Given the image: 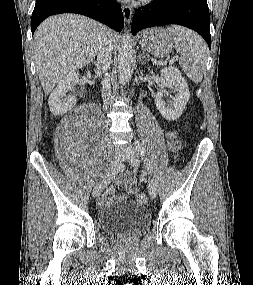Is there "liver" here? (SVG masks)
I'll return each instance as SVG.
<instances>
[{"mask_svg":"<svg viewBox=\"0 0 253 285\" xmlns=\"http://www.w3.org/2000/svg\"><path fill=\"white\" fill-rule=\"evenodd\" d=\"M102 25L75 14H61L43 21L34 37V57L41 85L49 94L69 73L88 65L100 47ZM114 46L115 31H107Z\"/></svg>","mask_w":253,"mask_h":285,"instance_id":"6515ba94","label":"liver"}]
</instances>
